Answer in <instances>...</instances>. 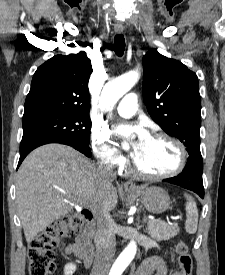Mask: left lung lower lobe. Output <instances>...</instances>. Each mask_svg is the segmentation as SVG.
I'll return each instance as SVG.
<instances>
[{"label":"left lung lower lobe","mask_w":225,"mask_h":275,"mask_svg":"<svg viewBox=\"0 0 225 275\" xmlns=\"http://www.w3.org/2000/svg\"><path fill=\"white\" fill-rule=\"evenodd\" d=\"M202 172L203 160L201 154H191L182 173L176 177L165 179L163 182L179 185L196 192L201 198H204Z\"/></svg>","instance_id":"1"}]
</instances>
